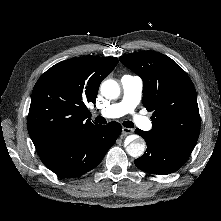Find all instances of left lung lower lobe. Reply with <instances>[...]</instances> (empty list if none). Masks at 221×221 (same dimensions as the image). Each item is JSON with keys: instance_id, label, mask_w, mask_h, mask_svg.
<instances>
[{"instance_id": "0a47b994", "label": "left lung lower lobe", "mask_w": 221, "mask_h": 221, "mask_svg": "<svg viewBox=\"0 0 221 221\" xmlns=\"http://www.w3.org/2000/svg\"><path fill=\"white\" fill-rule=\"evenodd\" d=\"M135 132L145 139L147 149L146 153L136 159L134 163L139 169L148 173L159 175L173 173L185 164L192 152L150 138L146 135V132L140 129H136Z\"/></svg>"}]
</instances>
